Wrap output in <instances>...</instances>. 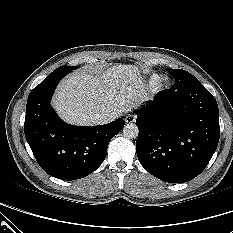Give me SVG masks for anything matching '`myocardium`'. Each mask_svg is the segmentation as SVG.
Returning <instances> with one entry per match:
<instances>
[{
  "mask_svg": "<svg viewBox=\"0 0 233 233\" xmlns=\"http://www.w3.org/2000/svg\"><path fill=\"white\" fill-rule=\"evenodd\" d=\"M169 83V78L168 77H162L161 79H159L158 83H157V88H163L165 87L167 84Z\"/></svg>",
  "mask_w": 233,
  "mask_h": 233,
  "instance_id": "f54148a6",
  "label": "myocardium"
}]
</instances>
